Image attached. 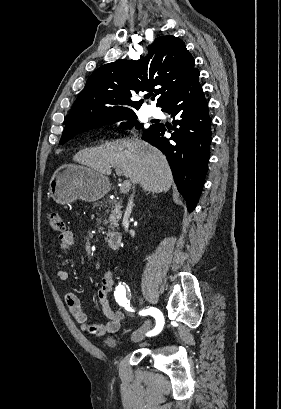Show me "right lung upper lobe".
Here are the masks:
<instances>
[{
  "label": "right lung upper lobe",
  "instance_id": "right-lung-upper-lobe-1",
  "mask_svg": "<svg viewBox=\"0 0 281 409\" xmlns=\"http://www.w3.org/2000/svg\"><path fill=\"white\" fill-rule=\"evenodd\" d=\"M194 58L182 40L175 36H160L150 46L147 57L118 60L95 70L78 95L65 128L83 127L108 117L132 111L123 105L139 109L143 100L132 102L131 93L153 91L157 106L180 91L196 72Z\"/></svg>",
  "mask_w": 281,
  "mask_h": 409
}]
</instances>
